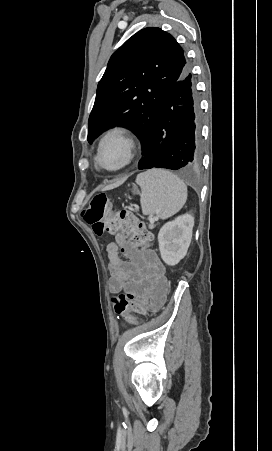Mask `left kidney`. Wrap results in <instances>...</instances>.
<instances>
[{"instance_id":"left-kidney-1","label":"left kidney","mask_w":272,"mask_h":451,"mask_svg":"<svg viewBox=\"0 0 272 451\" xmlns=\"http://www.w3.org/2000/svg\"><path fill=\"white\" fill-rule=\"evenodd\" d=\"M194 218L190 214L178 216L173 222H167L158 233L161 257L168 265H175L187 253L192 237Z\"/></svg>"}]
</instances>
